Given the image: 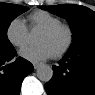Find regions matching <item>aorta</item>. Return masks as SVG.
<instances>
[{"label":"aorta","mask_w":95,"mask_h":95,"mask_svg":"<svg viewBox=\"0 0 95 95\" xmlns=\"http://www.w3.org/2000/svg\"><path fill=\"white\" fill-rule=\"evenodd\" d=\"M37 77L42 82H49L53 77V70L47 64H41L36 71Z\"/></svg>","instance_id":"762f6f07"}]
</instances>
